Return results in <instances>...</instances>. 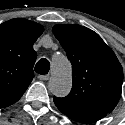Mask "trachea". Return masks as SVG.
I'll return each instance as SVG.
<instances>
[{"instance_id":"3493384b","label":"trachea","mask_w":125,"mask_h":125,"mask_svg":"<svg viewBox=\"0 0 125 125\" xmlns=\"http://www.w3.org/2000/svg\"><path fill=\"white\" fill-rule=\"evenodd\" d=\"M49 69L50 62L45 58L40 59L35 66V71L38 74H47L49 72Z\"/></svg>"}]
</instances>
